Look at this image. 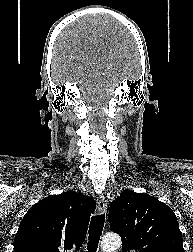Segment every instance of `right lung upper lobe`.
Masks as SVG:
<instances>
[{
	"label": "right lung upper lobe",
	"instance_id": "cb5924a9",
	"mask_svg": "<svg viewBox=\"0 0 193 252\" xmlns=\"http://www.w3.org/2000/svg\"><path fill=\"white\" fill-rule=\"evenodd\" d=\"M96 202L75 191L48 196L24 215L14 252H70L82 246Z\"/></svg>",
	"mask_w": 193,
	"mask_h": 252
}]
</instances>
